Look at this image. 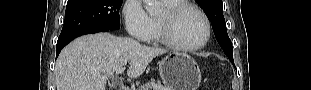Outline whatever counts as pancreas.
<instances>
[{"label":"pancreas","mask_w":311,"mask_h":90,"mask_svg":"<svg viewBox=\"0 0 311 90\" xmlns=\"http://www.w3.org/2000/svg\"><path fill=\"white\" fill-rule=\"evenodd\" d=\"M140 90H169L166 86H161L160 83L155 84L154 81L146 83Z\"/></svg>","instance_id":"1"}]
</instances>
